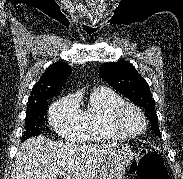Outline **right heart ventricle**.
Here are the masks:
<instances>
[{
    "label": "right heart ventricle",
    "mask_w": 183,
    "mask_h": 179,
    "mask_svg": "<svg viewBox=\"0 0 183 179\" xmlns=\"http://www.w3.org/2000/svg\"><path fill=\"white\" fill-rule=\"evenodd\" d=\"M123 101L119 94L109 88H95L89 95L87 106L81 110L84 128L79 140L100 142L119 139L120 137L108 125V115L116 105Z\"/></svg>",
    "instance_id": "1"
}]
</instances>
